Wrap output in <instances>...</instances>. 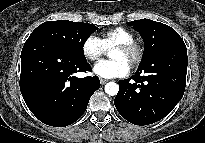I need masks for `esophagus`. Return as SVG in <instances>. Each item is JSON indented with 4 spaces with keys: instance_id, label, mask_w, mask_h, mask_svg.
<instances>
[{
    "instance_id": "34e87169",
    "label": "esophagus",
    "mask_w": 205,
    "mask_h": 143,
    "mask_svg": "<svg viewBox=\"0 0 205 143\" xmlns=\"http://www.w3.org/2000/svg\"><path fill=\"white\" fill-rule=\"evenodd\" d=\"M107 82H108V80H106V79H103V78L100 79L101 85H104V84L107 83Z\"/></svg>"
}]
</instances>
